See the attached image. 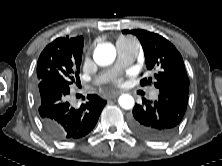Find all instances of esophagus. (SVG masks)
<instances>
[{
  "instance_id": "obj_1",
  "label": "esophagus",
  "mask_w": 222,
  "mask_h": 166,
  "mask_svg": "<svg viewBox=\"0 0 222 166\" xmlns=\"http://www.w3.org/2000/svg\"><path fill=\"white\" fill-rule=\"evenodd\" d=\"M122 93V91H113L111 93L108 94L109 98H115L117 96H119Z\"/></svg>"
}]
</instances>
